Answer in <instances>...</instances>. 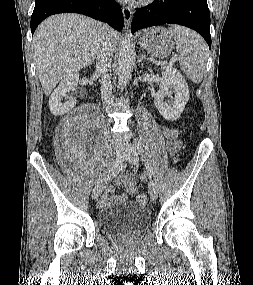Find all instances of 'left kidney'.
Listing matches in <instances>:
<instances>
[{"mask_svg":"<svg viewBox=\"0 0 253 285\" xmlns=\"http://www.w3.org/2000/svg\"><path fill=\"white\" fill-rule=\"evenodd\" d=\"M189 96L188 85L177 69L170 67L162 71L160 89L154 96V104L166 120L173 121L180 117ZM164 97H171L172 100L166 102Z\"/></svg>","mask_w":253,"mask_h":285,"instance_id":"left-kidney-1","label":"left kidney"}]
</instances>
